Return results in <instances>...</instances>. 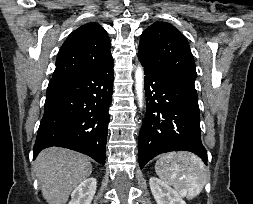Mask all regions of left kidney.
Wrapping results in <instances>:
<instances>
[{"label": "left kidney", "instance_id": "1", "mask_svg": "<svg viewBox=\"0 0 253 204\" xmlns=\"http://www.w3.org/2000/svg\"><path fill=\"white\" fill-rule=\"evenodd\" d=\"M149 185L157 204H186L181 195L164 181L151 177Z\"/></svg>", "mask_w": 253, "mask_h": 204}]
</instances>
